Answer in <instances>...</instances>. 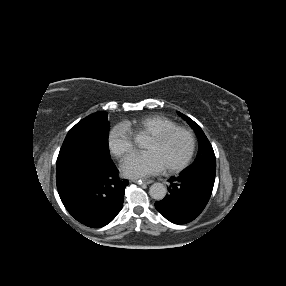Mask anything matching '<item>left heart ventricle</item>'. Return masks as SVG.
<instances>
[{
	"instance_id": "b2bd125f",
	"label": "left heart ventricle",
	"mask_w": 286,
	"mask_h": 286,
	"mask_svg": "<svg viewBox=\"0 0 286 286\" xmlns=\"http://www.w3.org/2000/svg\"><path fill=\"white\" fill-rule=\"evenodd\" d=\"M143 147L146 151L153 152L165 168L181 162L187 156L191 147V138L186 132H178L160 142L148 138Z\"/></svg>"
}]
</instances>
